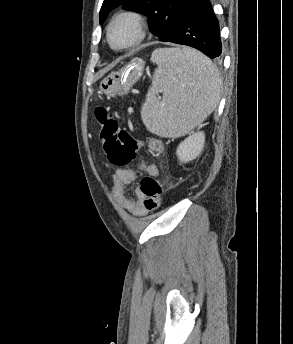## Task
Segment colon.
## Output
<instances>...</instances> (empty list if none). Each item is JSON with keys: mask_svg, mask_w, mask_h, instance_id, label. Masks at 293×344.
I'll return each mask as SVG.
<instances>
[{"mask_svg": "<svg viewBox=\"0 0 293 344\" xmlns=\"http://www.w3.org/2000/svg\"><path fill=\"white\" fill-rule=\"evenodd\" d=\"M94 114L100 127V138L109 163L114 167L129 165L135 158L140 142L129 131L119 128L117 120L108 108L98 106ZM146 148L152 155H159L164 151L162 141L154 137L147 138ZM162 182V179L153 176H145L141 180L140 190L144 195L143 207L146 212L155 211L160 207Z\"/></svg>", "mask_w": 293, "mask_h": 344, "instance_id": "5ec220e1", "label": "colon"}]
</instances>
